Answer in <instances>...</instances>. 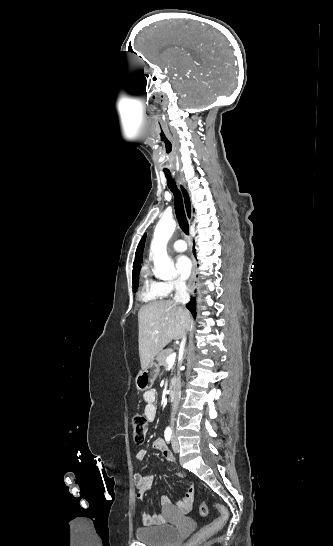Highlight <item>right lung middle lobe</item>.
Listing matches in <instances>:
<instances>
[{
    "mask_svg": "<svg viewBox=\"0 0 333 546\" xmlns=\"http://www.w3.org/2000/svg\"><path fill=\"white\" fill-rule=\"evenodd\" d=\"M137 272H138V265L137 264H133V278L135 280L134 284H133V291L136 292L137 290V287H138V278H137Z\"/></svg>",
    "mask_w": 333,
    "mask_h": 546,
    "instance_id": "1",
    "label": "right lung middle lobe"
}]
</instances>
